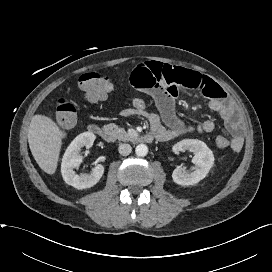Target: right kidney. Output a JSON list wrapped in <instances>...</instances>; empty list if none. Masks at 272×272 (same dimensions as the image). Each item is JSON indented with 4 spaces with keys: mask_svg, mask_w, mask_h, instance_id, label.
Returning <instances> with one entry per match:
<instances>
[{
    "mask_svg": "<svg viewBox=\"0 0 272 272\" xmlns=\"http://www.w3.org/2000/svg\"><path fill=\"white\" fill-rule=\"evenodd\" d=\"M91 132H84L78 135L66 149L61 163V173L64 181L76 189H86L94 186L103 176L104 166L95 165L90 174H76L74 168H78L83 161L80 155L82 147L90 148L95 140Z\"/></svg>",
    "mask_w": 272,
    "mask_h": 272,
    "instance_id": "1",
    "label": "right kidney"
}]
</instances>
